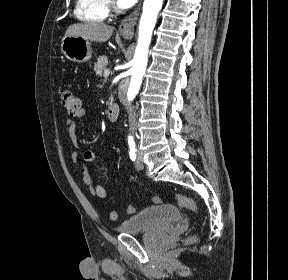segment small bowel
I'll return each mask as SVG.
<instances>
[{
	"mask_svg": "<svg viewBox=\"0 0 288 280\" xmlns=\"http://www.w3.org/2000/svg\"><path fill=\"white\" fill-rule=\"evenodd\" d=\"M88 112L87 107L82 106L76 115L77 117L81 118L84 117ZM66 126L68 127L69 133L71 136L75 134L76 124L75 121L72 119L66 120ZM78 152H74L72 154V161L77 162L78 160ZM85 168L84 173L82 175V183L87 187L89 193L93 196H96L100 199H106L110 196V193L101 185L95 182L94 174L96 171V156L91 151H86L83 154Z\"/></svg>",
	"mask_w": 288,
	"mask_h": 280,
	"instance_id": "obj_1",
	"label": "small bowel"
}]
</instances>
